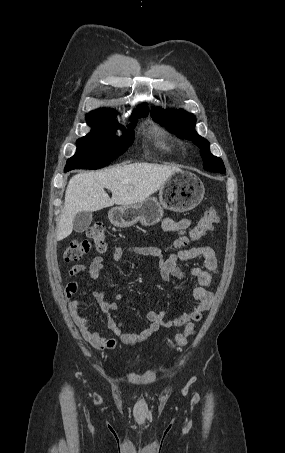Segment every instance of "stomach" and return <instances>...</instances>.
I'll return each mask as SVG.
<instances>
[{"mask_svg":"<svg viewBox=\"0 0 285 453\" xmlns=\"http://www.w3.org/2000/svg\"><path fill=\"white\" fill-rule=\"evenodd\" d=\"M205 188L198 176L188 171L174 173L159 189V200L148 197L133 205L112 208L108 213L110 222L127 228L140 222L154 225L163 217V209L186 212L195 208L203 199Z\"/></svg>","mask_w":285,"mask_h":453,"instance_id":"obj_1","label":"stomach"}]
</instances>
